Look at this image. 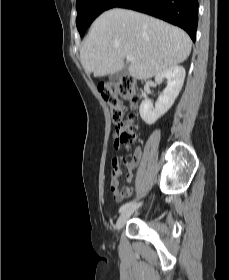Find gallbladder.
Returning <instances> with one entry per match:
<instances>
[{"label": "gallbladder", "instance_id": "1", "mask_svg": "<svg viewBox=\"0 0 229 280\" xmlns=\"http://www.w3.org/2000/svg\"><path fill=\"white\" fill-rule=\"evenodd\" d=\"M128 74V69L126 67L122 68L120 71L110 75L109 79L112 81H120L123 77Z\"/></svg>", "mask_w": 229, "mask_h": 280}]
</instances>
